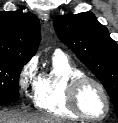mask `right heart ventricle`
Here are the masks:
<instances>
[{"label":"right heart ventricle","mask_w":118,"mask_h":123,"mask_svg":"<svg viewBox=\"0 0 118 123\" xmlns=\"http://www.w3.org/2000/svg\"><path fill=\"white\" fill-rule=\"evenodd\" d=\"M83 72L61 54H54L49 70L42 72L34 91L35 107L49 115L79 119L67 102V85Z\"/></svg>","instance_id":"obj_1"}]
</instances>
